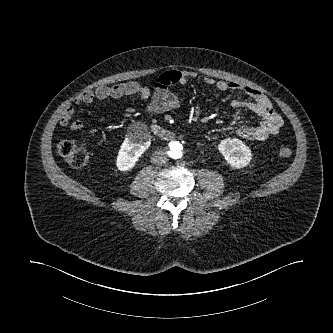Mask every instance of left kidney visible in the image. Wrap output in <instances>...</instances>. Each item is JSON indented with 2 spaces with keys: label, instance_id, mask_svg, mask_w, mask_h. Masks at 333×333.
<instances>
[{
  "label": "left kidney",
  "instance_id": "5707ae66",
  "mask_svg": "<svg viewBox=\"0 0 333 333\" xmlns=\"http://www.w3.org/2000/svg\"><path fill=\"white\" fill-rule=\"evenodd\" d=\"M218 150L224 156L227 163L233 168H241L247 166L252 154L248 146L239 139H224L218 145Z\"/></svg>",
  "mask_w": 333,
  "mask_h": 333
}]
</instances>
